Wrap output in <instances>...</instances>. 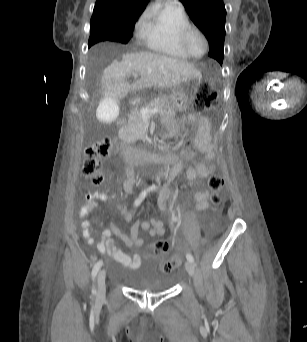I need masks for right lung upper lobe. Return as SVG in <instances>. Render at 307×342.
Listing matches in <instances>:
<instances>
[{"mask_svg": "<svg viewBox=\"0 0 307 342\" xmlns=\"http://www.w3.org/2000/svg\"><path fill=\"white\" fill-rule=\"evenodd\" d=\"M149 0H97L91 27L108 31L132 32Z\"/></svg>", "mask_w": 307, "mask_h": 342, "instance_id": "right-lung-upper-lobe-1", "label": "right lung upper lobe"}]
</instances>
